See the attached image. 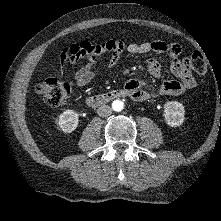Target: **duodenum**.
<instances>
[{
	"label": "duodenum",
	"mask_w": 221,
	"mask_h": 221,
	"mask_svg": "<svg viewBox=\"0 0 221 221\" xmlns=\"http://www.w3.org/2000/svg\"><path fill=\"white\" fill-rule=\"evenodd\" d=\"M127 95L128 93L125 90L117 89V90L109 91L107 93L89 96L86 99V103L89 107L96 108L112 100L123 98Z\"/></svg>",
	"instance_id": "duodenum-1"
}]
</instances>
